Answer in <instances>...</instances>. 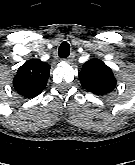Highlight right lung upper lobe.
I'll return each mask as SVG.
<instances>
[{"label": "right lung upper lobe", "instance_id": "cb5924a9", "mask_svg": "<svg viewBox=\"0 0 135 165\" xmlns=\"http://www.w3.org/2000/svg\"><path fill=\"white\" fill-rule=\"evenodd\" d=\"M50 66L40 60H28L19 67L13 79L15 90L25 98H34L46 86Z\"/></svg>", "mask_w": 135, "mask_h": 165}]
</instances>
